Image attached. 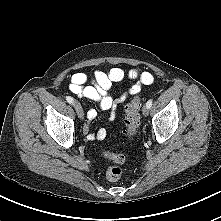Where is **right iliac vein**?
<instances>
[{
    "instance_id": "63e3f726",
    "label": "right iliac vein",
    "mask_w": 221,
    "mask_h": 221,
    "mask_svg": "<svg viewBox=\"0 0 221 221\" xmlns=\"http://www.w3.org/2000/svg\"><path fill=\"white\" fill-rule=\"evenodd\" d=\"M73 105H74V108H75V111L78 115V117L83 120L84 119V112H83V109H82V106L80 105L79 102L77 101H74L73 102Z\"/></svg>"
}]
</instances>
